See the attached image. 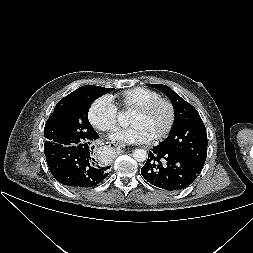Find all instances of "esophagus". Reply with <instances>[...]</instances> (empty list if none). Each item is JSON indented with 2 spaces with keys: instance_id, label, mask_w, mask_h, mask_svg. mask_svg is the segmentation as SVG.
I'll use <instances>...</instances> for the list:
<instances>
[{
  "instance_id": "esophagus-1",
  "label": "esophagus",
  "mask_w": 253,
  "mask_h": 253,
  "mask_svg": "<svg viewBox=\"0 0 253 253\" xmlns=\"http://www.w3.org/2000/svg\"><path fill=\"white\" fill-rule=\"evenodd\" d=\"M107 146L110 148V149H113L115 151H118V150H121L119 145L117 143H114V142H108L107 143Z\"/></svg>"
}]
</instances>
